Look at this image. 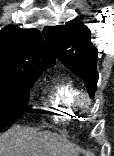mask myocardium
I'll use <instances>...</instances> for the list:
<instances>
[{
  "mask_svg": "<svg viewBox=\"0 0 114 156\" xmlns=\"http://www.w3.org/2000/svg\"><path fill=\"white\" fill-rule=\"evenodd\" d=\"M76 107L83 112H90L93 107V99L86 92H80L75 100Z\"/></svg>",
  "mask_w": 114,
  "mask_h": 156,
  "instance_id": "1",
  "label": "myocardium"
}]
</instances>
